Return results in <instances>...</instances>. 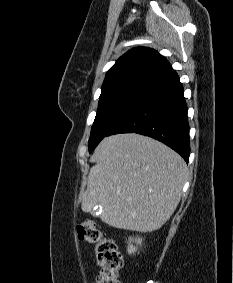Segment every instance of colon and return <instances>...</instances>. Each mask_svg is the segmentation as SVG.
Returning <instances> with one entry per match:
<instances>
[{"mask_svg":"<svg viewBox=\"0 0 233 283\" xmlns=\"http://www.w3.org/2000/svg\"><path fill=\"white\" fill-rule=\"evenodd\" d=\"M81 239L95 246L99 273L96 283H119L118 272L123 258L114 240L103 236L100 226L92 218L83 219L77 227Z\"/></svg>","mask_w":233,"mask_h":283,"instance_id":"obj_1","label":"colon"}]
</instances>
